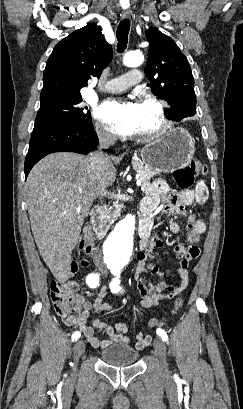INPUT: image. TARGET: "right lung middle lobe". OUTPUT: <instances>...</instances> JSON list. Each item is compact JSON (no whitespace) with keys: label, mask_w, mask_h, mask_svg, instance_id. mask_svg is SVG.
<instances>
[{"label":"right lung middle lobe","mask_w":243,"mask_h":409,"mask_svg":"<svg viewBox=\"0 0 243 409\" xmlns=\"http://www.w3.org/2000/svg\"><path fill=\"white\" fill-rule=\"evenodd\" d=\"M82 97L53 98L41 101L36 120L46 119L67 123L72 126L91 124V114L81 104Z\"/></svg>","instance_id":"dd1d6c3e"}]
</instances>
